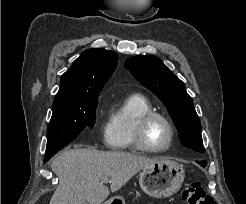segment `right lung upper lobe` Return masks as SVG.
Wrapping results in <instances>:
<instances>
[{"instance_id":"cb5924a9","label":"right lung upper lobe","mask_w":246,"mask_h":204,"mask_svg":"<svg viewBox=\"0 0 246 204\" xmlns=\"http://www.w3.org/2000/svg\"><path fill=\"white\" fill-rule=\"evenodd\" d=\"M116 53L105 49H88L76 59L60 80L54 102L99 95L117 66Z\"/></svg>"}]
</instances>
